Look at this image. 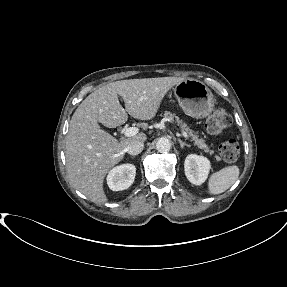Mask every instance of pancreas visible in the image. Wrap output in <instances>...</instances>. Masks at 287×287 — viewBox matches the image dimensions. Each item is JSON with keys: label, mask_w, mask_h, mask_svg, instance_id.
<instances>
[{"label": "pancreas", "mask_w": 287, "mask_h": 287, "mask_svg": "<svg viewBox=\"0 0 287 287\" xmlns=\"http://www.w3.org/2000/svg\"><path fill=\"white\" fill-rule=\"evenodd\" d=\"M163 116L169 120H176L178 126L188 134V136L191 137V139L194 141V144L197 145L200 149L204 150L205 153H209L210 155H212L214 153L213 150L210 149L209 146H207L205 144V140L204 139H200L198 137V135H196L193 130H191L187 124L185 122H183L182 120H180V118L178 116H176V114L171 113L170 111H165ZM215 158L218 160L219 156H215Z\"/></svg>", "instance_id": "pancreas-1"}]
</instances>
